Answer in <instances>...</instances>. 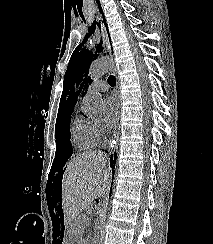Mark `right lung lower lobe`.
<instances>
[{"mask_svg":"<svg viewBox=\"0 0 213 244\" xmlns=\"http://www.w3.org/2000/svg\"><path fill=\"white\" fill-rule=\"evenodd\" d=\"M107 152V151H105ZM116 161V153H114V155L111 156L110 158V163H111V167L113 168V163ZM115 164V163H114Z\"/></svg>","mask_w":213,"mask_h":244,"instance_id":"obj_1","label":"right lung lower lobe"}]
</instances>
